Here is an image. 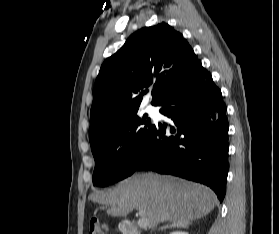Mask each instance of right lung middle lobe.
Returning a JSON list of instances; mask_svg holds the SVG:
<instances>
[{
    "label": "right lung middle lobe",
    "mask_w": 279,
    "mask_h": 234,
    "mask_svg": "<svg viewBox=\"0 0 279 234\" xmlns=\"http://www.w3.org/2000/svg\"><path fill=\"white\" fill-rule=\"evenodd\" d=\"M154 129L147 114L141 118L136 113L109 135L91 144L95 159L93 184L107 186L134 173Z\"/></svg>",
    "instance_id": "1"
}]
</instances>
